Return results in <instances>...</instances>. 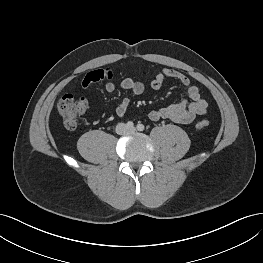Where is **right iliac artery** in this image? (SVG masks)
<instances>
[{
    "mask_svg": "<svg viewBox=\"0 0 263 263\" xmlns=\"http://www.w3.org/2000/svg\"><path fill=\"white\" fill-rule=\"evenodd\" d=\"M126 125H127L128 128H133L134 127V123L132 121H128Z\"/></svg>",
    "mask_w": 263,
    "mask_h": 263,
    "instance_id": "right-iliac-artery-1",
    "label": "right iliac artery"
}]
</instances>
